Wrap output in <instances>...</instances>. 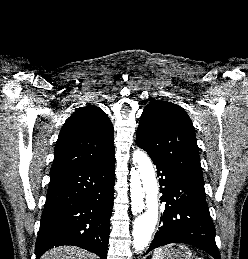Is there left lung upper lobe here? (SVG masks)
Masks as SVG:
<instances>
[{
  "label": "left lung upper lobe",
  "instance_id": "left-lung-upper-lobe-1",
  "mask_svg": "<svg viewBox=\"0 0 248 259\" xmlns=\"http://www.w3.org/2000/svg\"><path fill=\"white\" fill-rule=\"evenodd\" d=\"M136 140L189 182L204 186L195 130L183 108L167 101H151L142 113Z\"/></svg>",
  "mask_w": 248,
  "mask_h": 259
}]
</instances>
